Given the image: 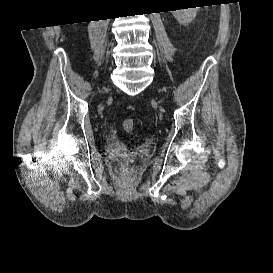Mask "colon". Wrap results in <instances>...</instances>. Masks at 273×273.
Wrapping results in <instances>:
<instances>
[{
  "instance_id": "5ec220e1",
  "label": "colon",
  "mask_w": 273,
  "mask_h": 273,
  "mask_svg": "<svg viewBox=\"0 0 273 273\" xmlns=\"http://www.w3.org/2000/svg\"><path fill=\"white\" fill-rule=\"evenodd\" d=\"M122 125L125 131L130 132L133 130L135 126V122L132 118H127L123 121Z\"/></svg>"
}]
</instances>
